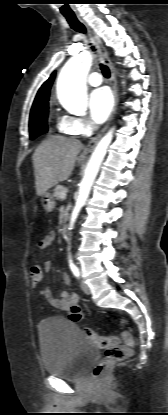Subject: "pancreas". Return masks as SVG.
Instances as JSON below:
<instances>
[{
	"mask_svg": "<svg viewBox=\"0 0 168 415\" xmlns=\"http://www.w3.org/2000/svg\"><path fill=\"white\" fill-rule=\"evenodd\" d=\"M67 192V188H65L64 186H62V185H57L56 186V188L54 189V193H53V195H54V197L57 199V200H60V199H62L61 197H60V195H61V192Z\"/></svg>",
	"mask_w": 168,
	"mask_h": 415,
	"instance_id": "pancreas-1",
	"label": "pancreas"
}]
</instances>
